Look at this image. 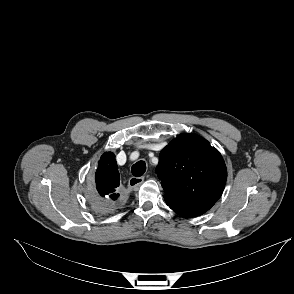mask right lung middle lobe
Returning <instances> with one entry per match:
<instances>
[{
	"instance_id": "1",
	"label": "right lung middle lobe",
	"mask_w": 294,
	"mask_h": 294,
	"mask_svg": "<svg viewBox=\"0 0 294 294\" xmlns=\"http://www.w3.org/2000/svg\"><path fill=\"white\" fill-rule=\"evenodd\" d=\"M89 200L94 211L97 213H108L116 207V204L111 205L107 203L105 199H101L97 193L91 194Z\"/></svg>"
}]
</instances>
